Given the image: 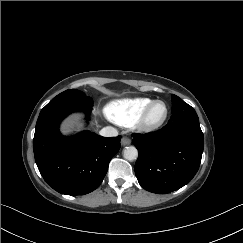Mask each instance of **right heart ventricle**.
I'll return each instance as SVG.
<instances>
[{"mask_svg":"<svg viewBox=\"0 0 243 243\" xmlns=\"http://www.w3.org/2000/svg\"><path fill=\"white\" fill-rule=\"evenodd\" d=\"M153 101L148 97L117 100L109 103L105 111L112 121L127 127L134 124Z\"/></svg>","mask_w":243,"mask_h":243,"instance_id":"e07e8e85","label":"right heart ventricle"}]
</instances>
